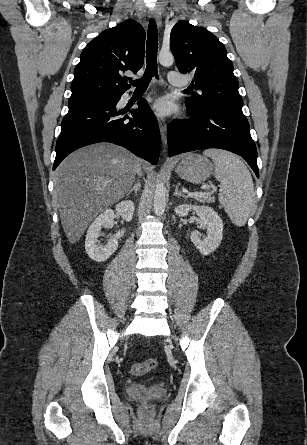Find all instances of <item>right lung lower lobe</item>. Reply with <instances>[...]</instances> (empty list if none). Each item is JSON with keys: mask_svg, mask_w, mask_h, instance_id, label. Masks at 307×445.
<instances>
[{"mask_svg": "<svg viewBox=\"0 0 307 445\" xmlns=\"http://www.w3.org/2000/svg\"><path fill=\"white\" fill-rule=\"evenodd\" d=\"M122 94L69 103L56 143L53 170L74 150L105 141L121 145L153 164L158 162L161 139L156 117L142 99L132 118L116 119L125 113L116 109Z\"/></svg>", "mask_w": 307, "mask_h": 445, "instance_id": "obj_1", "label": "right lung lower lobe"}]
</instances>
